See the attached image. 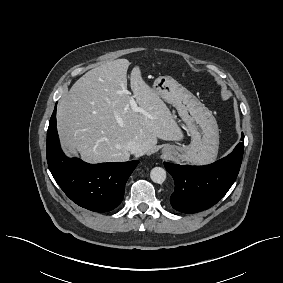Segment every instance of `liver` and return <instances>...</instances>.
Segmentation results:
<instances>
[{"label":"liver","mask_w":283,"mask_h":283,"mask_svg":"<svg viewBox=\"0 0 283 283\" xmlns=\"http://www.w3.org/2000/svg\"><path fill=\"white\" fill-rule=\"evenodd\" d=\"M130 62L117 59L79 78L59 101L57 128L68 152L89 163L123 162L130 158L129 141L150 151L158 139L180 141L183 133L159 95L142 79L139 66L131 72L133 98L146 112H134L127 93Z\"/></svg>","instance_id":"6515ba94"}]
</instances>
